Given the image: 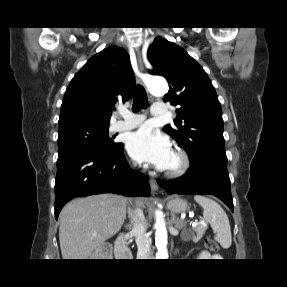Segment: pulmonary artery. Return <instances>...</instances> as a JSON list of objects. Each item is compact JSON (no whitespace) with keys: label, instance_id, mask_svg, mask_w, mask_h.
Segmentation results:
<instances>
[{"label":"pulmonary artery","instance_id":"1","mask_svg":"<svg viewBox=\"0 0 287 287\" xmlns=\"http://www.w3.org/2000/svg\"><path fill=\"white\" fill-rule=\"evenodd\" d=\"M121 120H118L113 125V130L116 132L133 129L145 120V116L141 114H133L127 111H120ZM151 114L153 116H164L166 114V106L162 103L152 105Z\"/></svg>","mask_w":287,"mask_h":287}]
</instances>
